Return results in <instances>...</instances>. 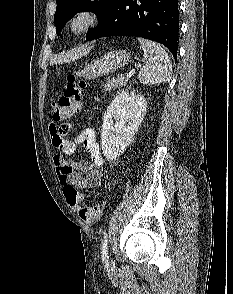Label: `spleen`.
Wrapping results in <instances>:
<instances>
[{"label": "spleen", "instance_id": "spleen-1", "mask_svg": "<svg viewBox=\"0 0 233 294\" xmlns=\"http://www.w3.org/2000/svg\"><path fill=\"white\" fill-rule=\"evenodd\" d=\"M145 65L140 69L138 79L144 85L167 82L171 78L172 64L165 49L158 43L138 38Z\"/></svg>", "mask_w": 233, "mask_h": 294}]
</instances>
